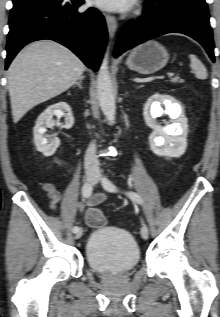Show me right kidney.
Here are the masks:
<instances>
[{"label":"right kidney","instance_id":"1","mask_svg":"<svg viewBox=\"0 0 220 317\" xmlns=\"http://www.w3.org/2000/svg\"><path fill=\"white\" fill-rule=\"evenodd\" d=\"M53 116L57 118L65 117L66 129H70L74 124V117L72 115L71 107L66 102H59L49 106L38 118L33 128L34 144L36 149L44 156H51L55 153L60 145L59 138L54 135L45 136L46 127L54 125Z\"/></svg>","mask_w":220,"mask_h":317}]
</instances>
